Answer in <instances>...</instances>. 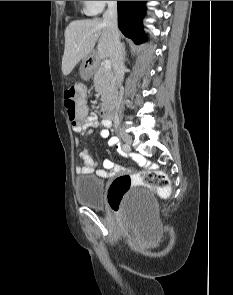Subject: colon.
<instances>
[{"label":"colon","instance_id":"obj_1","mask_svg":"<svg viewBox=\"0 0 233 295\" xmlns=\"http://www.w3.org/2000/svg\"><path fill=\"white\" fill-rule=\"evenodd\" d=\"M86 90L82 84L69 87L64 92V106L73 124L81 122L86 113ZM136 186H148L157 190L159 195L166 196L170 192L168 177L161 171H142L135 175H121L115 178L108 190V203L112 210H119L129 192Z\"/></svg>","mask_w":233,"mask_h":295}]
</instances>
